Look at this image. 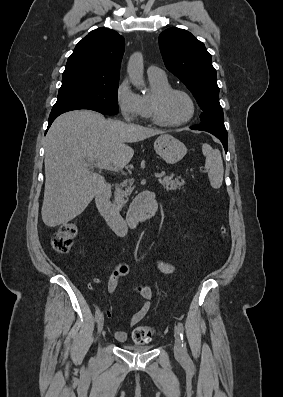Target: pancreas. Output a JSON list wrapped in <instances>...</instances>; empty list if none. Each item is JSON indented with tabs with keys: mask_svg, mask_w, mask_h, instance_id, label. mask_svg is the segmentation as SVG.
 <instances>
[{
	"mask_svg": "<svg viewBox=\"0 0 283 397\" xmlns=\"http://www.w3.org/2000/svg\"><path fill=\"white\" fill-rule=\"evenodd\" d=\"M129 180H124L122 183L118 184L115 188V201L117 204L122 207L126 204L124 198H128L133 190L130 186L126 188ZM159 183L166 189V190H177L183 188L185 181L183 179L173 178V176H165L163 179L159 180ZM125 187V189H123Z\"/></svg>",
	"mask_w": 283,
	"mask_h": 397,
	"instance_id": "cf45deb5",
	"label": "pancreas"
}]
</instances>
